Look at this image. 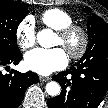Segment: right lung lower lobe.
Segmentation results:
<instances>
[{
    "label": "right lung lower lobe",
    "instance_id": "98d812e1",
    "mask_svg": "<svg viewBox=\"0 0 108 108\" xmlns=\"http://www.w3.org/2000/svg\"><path fill=\"white\" fill-rule=\"evenodd\" d=\"M22 59L21 52L7 54L0 51V108H17L24 97L26 89L38 82L36 73H20L13 71L3 74L2 67L18 64Z\"/></svg>",
    "mask_w": 108,
    "mask_h": 108
}]
</instances>
